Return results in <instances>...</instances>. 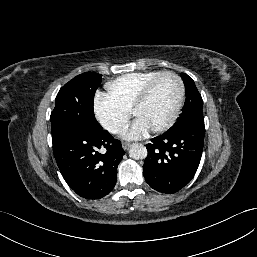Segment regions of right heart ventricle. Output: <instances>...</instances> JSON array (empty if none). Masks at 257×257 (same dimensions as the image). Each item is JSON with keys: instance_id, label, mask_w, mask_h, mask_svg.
I'll return each instance as SVG.
<instances>
[{"instance_id": "right-heart-ventricle-1", "label": "right heart ventricle", "mask_w": 257, "mask_h": 257, "mask_svg": "<svg viewBox=\"0 0 257 257\" xmlns=\"http://www.w3.org/2000/svg\"><path fill=\"white\" fill-rule=\"evenodd\" d=\"M160 73L145 71L120 76L107 84V96L123 109L131 111L143 88Z\"/></svg>"}]
</instances>
